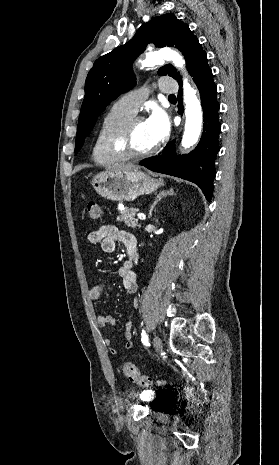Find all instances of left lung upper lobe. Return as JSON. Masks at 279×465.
Masks as SVG:
<instances>
[{
  "instance_id": "5c2ea615",
  "label": "left lung upper lobe",
  "mask_w": 279,
  "mask_h": 465,
  "mask_svg": "<svg viewBox=\"0 0 279 465\" xmlns=\"http://www.w3.org/2000/svg\"><path fill=\"white\" fill-rule=\"evenodd\" d=\"M149 43H154L156 47L174 46L179 49L185 57L189 73L205 53L189 26L172 13L155 17L142 24L130 42L98 58L88 73L77 127L75 153L82 147L98 114L117 96L136 84L131 65ZM158 74L169 75L178 82L181 81L179 73L169 64L161 67Z\"/></svg>"
}]
</instances>
